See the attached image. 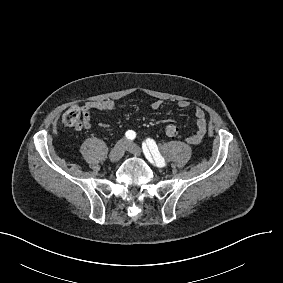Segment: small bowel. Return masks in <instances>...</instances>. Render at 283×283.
<instances>
[{"label":"small bowel","mask_w":283,"mask_h":283,"mask_svg":"<svg viewBox=\"0 0 283 283\" xmlns=\"http://www.w3.org/2000/svg\"><path fill=\"white\" fill-rule=\"evenodd\" d=\"M189 102L182 100L178 102V106L182 109L189 107ZM116 104L111 99H103L96 101H88L84 103L81 107L83 114L82 126L85 129H90L91 122L103 123L108 119V114L105 111L114 110ZM163 107V102L161 100H154L151 103V108L153 110H160ZM99 111V112H98ZM195 126L196 130L194 133L186 138V142L190 145H198L204 138L207 131V119L205 111L197 106L194 110Z\"/></svg>","instance_id":"1"}]
</instances>
